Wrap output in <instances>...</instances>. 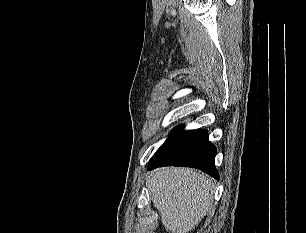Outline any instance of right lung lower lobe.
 Here are the masks:
<instances>
[{
    "instance_id": "right-lung-lower-lobe-1",
    "label": "right lung lower lobe",
    "mask_w": 306,
    "mask_h": 233,
    "mask_svg": "<svg viewBox=\"0 0 306 233\" xmlns=\"http://www.w3.org/2000/svg\"><path fill=\"white\" fill-rule=\"evenodd\" d=\"M216 147L206 130L183 131L162 153L148 163V170L161 166L193 167L219 179L214 160Z\"/></svg>"
}]
</instances>
